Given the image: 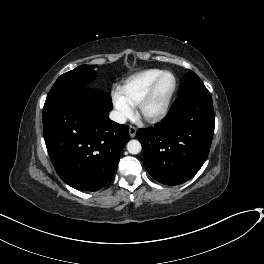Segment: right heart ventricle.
Segmentation results:
<instances>
[{
    "label": "right heart ventricle",
    "instance_id": "e07e8e85",
    "mask_svg": "<svg viewBox=\"0 0 264 264\" xmlns=\"http://www.w3.org/2000/svg\"><path fill=\"white\" fill-rule=\"evenodd\" d=\"M162 72L155 68L139 71L126 79L119 88V92L129 103L135 105Z\"/></svg>",
    "mask_w": 264,
    "mask_h": 264
}]
</instances>
